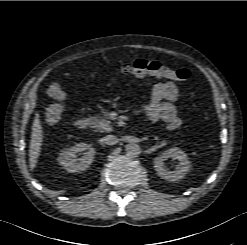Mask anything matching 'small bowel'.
I'll list each match as a JSON object with an SVG mask.
<instances>
[{
    "label": "small bowel",
    "instance_id": "1",
    "mask_svg": "<svg viewBox=\"0 0 247 245\" xmlns=\"http://www.w3.org/2000/svg\"><path fill=\"white\" fill-rule=\"evenodd\" d=\"M179 97V89L173 82H161L154 85L150 103L142 108L145 116L152 122L166 123L178 117L174 103Z\"/></svg>",
    "mask_w": 247,
    "mask_h": 245
}]
</instances>
